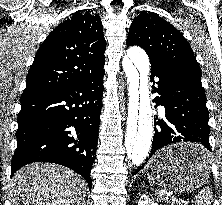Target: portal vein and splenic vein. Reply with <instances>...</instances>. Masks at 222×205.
Returning a JSON list of instances; mask_svg holds the SVG:
<instances>
[{"instance_id":"portal-vein-and-splenic-vein-1","label":"portal vein and splenic vein","mask_w":222,"mask_h":205,"mask_svg":"<svg viewBox=\"0 0 222 205\" xmlns=\"http://www.w3.org/2000/svg\"><path fill=\"white\" fill-rule=\"evenodd\" d=\"M163 193L166 194V196H168V197L174 198V200L176 201V203L179 204V205H181V203H185L182 199L176 198V197L174 196V192H173L172 190H168V191L163 190Z\"/></svg>"}]
</instances>
